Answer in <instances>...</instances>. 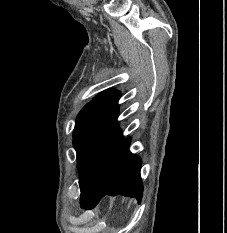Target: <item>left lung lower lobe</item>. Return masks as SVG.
I'll return each mask as SVG.
<instances>
[{"label": "left lung lower lobe", "instance_id": "left-lung-lower-lobe-1", "mask_svg": "<svg viewBox=\"0 0 227 233\" xmlns=\"http://www.w3.org/2000/svg\"><path fill=\"white\" fill-rule=\"evenodd\" d=\"M130 142L131 139L127 138L117 148L96 191L80 200L82 208H93L105 195L121 194L141 201V158L129 151Z\"/></svg>", "mask_w": 227, "mask_h": 233}]
</instances>
